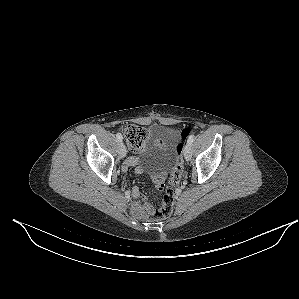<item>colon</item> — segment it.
Instances as JSON below:
<instances>
[{"mask_svg":"<svg viewBox=\"0 0 299 299\" xmlns=\"http://www.w3.org/2000/svg\"><path fill=\"white\" fill-rule=\"evenodd\" d=\"M122 132L128 143L129 148L133 152L142 150L144 144L148 138V130L145 127L129 124L122 127ZM192 132L191 128H184L181 132L182 139H186ZM182 150V143L178 144V157L174 170L170 174L167 183L163 185L165 188V195L162 202L156 207V209L150 214L154 219H161L171 214L175 201L174 188L179 185L182 173H183V161L180 156Z\"/></svg>","mask_w":299,"mask_h":299,"instance_id":"obj_1","label":"colon"}]
</instances>
